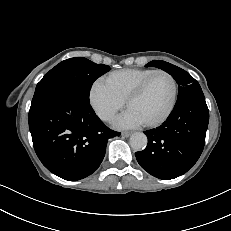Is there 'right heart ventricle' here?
Returning <instances> with one entry per match:
<instances>
[{"mask_svg":"<svg viewBox=\"0 0 231 231\" xmlns=\"http://www.w3.org/2000/svg\"><path fill=\"white\" fill-rule=\"evenodd\" d=\"M153 69L129 68L111 72L102 81L121 100L125 101L132 90L147 76Z\"/></svg>","mask_w":231,"mask_h":231,"instance_id":"1","label":"right heart ventricle"}]
</instances>
